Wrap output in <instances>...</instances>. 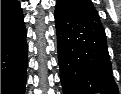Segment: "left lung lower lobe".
I'll return each mask as SVG.
<instances>
[{
    "instance_id": "left-lung-lower-lobe-1",
    "label": "left lung lower lobe",
    "mask_w": 121,
    "mask_h": 94,
    "mask_svg": "<svg viewBox=\"0 0 121 94\" xmlns=\"http://www.w3.org/2000/svg\"><path fill=\"white\" fill-rule=\"evenodd\" d=\"M54 16L63 94H118L102 24L74 15L58 2ZM59 32H64L63 40Z\"/></svg>"
}]
</instances>
